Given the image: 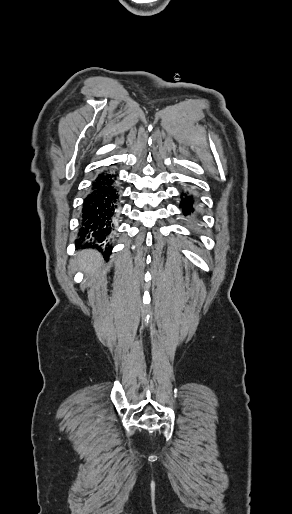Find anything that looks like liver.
Instances as JSON below:
<instances>
[{"mask_svg": "<svg viewBox=\"0 0 292 514\" xmlns=\"http://www.w3.org/2000/svg\"><path fill=\"white\" fill-rule=\"evenodd\" d=\"M75 260L74 270H82L88 278H93L97 274L103 262L101 254L95 250H82L76 254Z\"/></svg>", "mask_w": 292, "mask_h": 514, "instance_id": "liver-1", "label": "liver"}]
</instances>
